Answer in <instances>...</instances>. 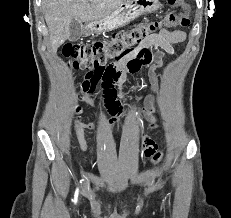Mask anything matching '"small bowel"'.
Here are the masks:
<instances>
[{
    "instance_id": "1",
    "label": "small bowel",
    "mask_w": 231,
    "mask_h": 218,
    "mask_svg": "<svg viewBox=\"0 0 231 218\" xmlns=\"http://www.w3.org/2000/svg\"><path fill=\"white\" fill-rule=\"evenodd\" d=\"M186 34L183 31L175 30L169 31L166 29L160 30L158 33L150 35L142 45V48L154 47L161 50L155 55L153 63L152 56L147 58H129L119 56L112 63H106L105 66H98V69H89L86 71V80L82 84V94L95 90L97 86H100L104 104L108 112L112 115H116L121 111V101L124 99L121 87L126 81L127 73H136L143 66L151 65L150 77L152 84V93L145 99V114L151 125L156 127V118L154 116V96L158 92V81L155 76V71L163 64L164 53L174 54V46L185 40ZM118 84L119 90L115 88V84ZM94 123H81L76 125L74 129L75 139L78 143L81 152L86 151L87 142L84 136L85 129L94 128ZM142 154L150 156L155 149L154 141L143 136L141 139Z\"/></svg>"
}]
</instances>
